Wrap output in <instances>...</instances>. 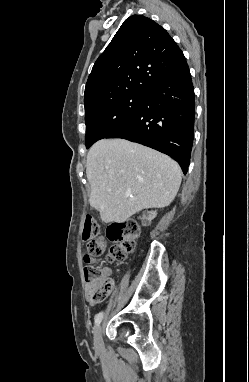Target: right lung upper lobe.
Returning <instances> with one entry per match:
<instances>
[{"instance_id": "cb5924a9", "label": "right lung upper lobe", "mask_w": 249, "mask_h": 382, "mask_svg": "<svg viewBox=\"0 0 249 382\" xmlns=\"http://www.w3.org/2000/svg\"><path fill=\"white\" fill-rule=\"evenodd\" d=\"M185 64L182 51L163 27L133 15L96 60L85 87V108L148 92Z\"/></svg>"}]
</instances>
